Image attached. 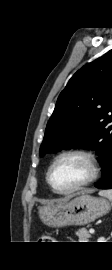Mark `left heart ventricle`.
<instances>
[{"instance_id": "obj_1", "label": "left heart ventricle", "mask_w": 112, "mask_h": 270, "mask_svg": "<svg viewBox=\"0 0 112 270\" xmlns=\"http://www.w3.org/2000/svg\"><path fill=\"white\" fill-rule=\"evenodd\" d=\"M90 174L86 160L79 156L62 158L51 173V181L58 190H67L82 181Z\"/></svg>"}]
</instances>
